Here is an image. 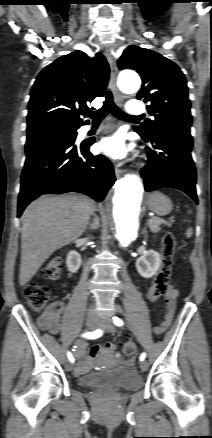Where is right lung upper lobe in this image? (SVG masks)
<instances>
[{
  "label": "right lung upper lobe",
  "instance_id": "cb5924a9",
  "mask_svg": "<svg viewBox=\"0 0 212 438\" xmlns=\"http://www.w3.org/2000/svg\"><path fill=\"white\" fill-rule=\"evenodd\" d=\"M110 69L105 57L82 51L64 55L44 68L31 89L27 131L49 127H79L84 107L105 94Z\"/></svg>",
  "mask_w": 212,
  "mask_h": 438
}]
</instances>
